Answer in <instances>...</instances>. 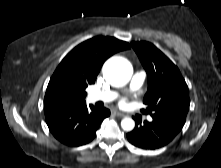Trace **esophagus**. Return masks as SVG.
<instances>
[{
    "label": "esophagus",
    "mask_w": 221,
    "mask_h": 168,
    "mask_svg": "<svg viewBox=\"0 0 221 168\" xmlns=\"http://www.w3.org/2000/svg\"><path fill=\"white\" fill-rule=\"evenodd\" d=\"M113 114H114L115 116H117V117H125V114L122 113V112H120V111H118V110H114V111H113Z\"/></svg>",
    "instance_id": "esophagus-1"
}]
</instances>
